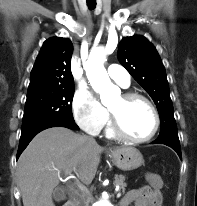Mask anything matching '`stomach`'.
<instances>
[{"instance_id":"obj_1","label":"stomach","mask_w":197,"mask_h":206,"mask_svg":"<svg viewBox=\"0 0 197 206\" xmlns=\"http://www.w3.org/2000/svg\"><path fill=\"white\" fill-rule=\"evenodd\" d=\"M113 163L124 171L140 167L144 159L140 151L134 147L117 148L110 153Z\"/></svg>"}]
</instances>
